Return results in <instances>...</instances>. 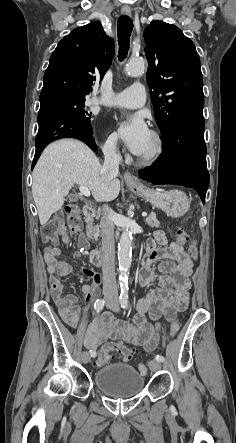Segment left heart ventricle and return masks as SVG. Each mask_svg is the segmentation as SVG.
I'll return each instance as SVG.
<instances>
[{"label":"left heart ventricle","instance_id":"1","mask_svg":"<svg viewBox=\"0 0 236 443\" xmlns=\"http://www.w3.org/2000/svg\"><path fill=\"white\" fill-rule=\"evenodd\" d=\"M153 147H154V141H153L152 136L150 135L141 154H146V153L150 152L153 149Z\"/></svg>","mask_w":236,"mask_h":443}]
</instances>
